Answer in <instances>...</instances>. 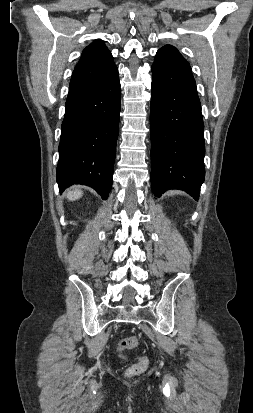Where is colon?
I'll list each match as a JSON object with an SVG mask.
<instances>
[{"label": "colon", "mask_w": 253, "mask_h": 413, "mask_svg": "<svg viewBox=\"0 0 253 413\" xmlns=\"http://www.w3.org/2000/svg\"><path fill=\"white\" fill-rule=\"evenodd\" d=\"M138 344H139V340L136 336L134 335L128 336L122 339L118 343V352L121 356H124V351L134 349L138 346ZM146 365H147V360L144 357H140L138 359V362L131 365L127 369V375L134 376V375L140 374L141 372L144 371Z\"/></svg>", "instance_id": "1"}]
</instances>
